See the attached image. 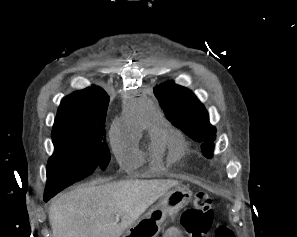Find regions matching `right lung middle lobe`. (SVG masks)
<instances>
[{
  "instance_id": "dd1d6c3e",
  "label": "right lung middle lobe",
  "mask_w": 297,
  "mask_h": 237,
  "mask_svg": "<svg viewBox=\"0 0 297 237\" xmlns=\"http://www.w3.org/2000/svg\"><path fill=\"white\" fill-rule=\"evenodd\" d=\"M105 125H64L53 128L54 153L47 165L45 195L54 196L64 188L84 179L99 166L105 169L110 152Z\"/></svg>"
}]
</instances>
